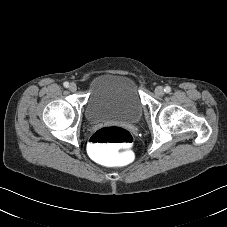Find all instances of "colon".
<instances>
[{
    "mask_svg": "<svg viewBox=\"0 0 227 227\" xmlns=\"http://www.w3.org/2000/svg\"><path fill=\"white\" fill-rule=\"evenodd\" d=\"M132 143L133 136L129 130L120 126H109L92 135L89 148L100 162L110 165L121 162Z\"/></svg>",
    "mask_w": 227,
    "mask_h": 227,
    "instance_id": "1",
    "label": "colon"
}]
</instances>
